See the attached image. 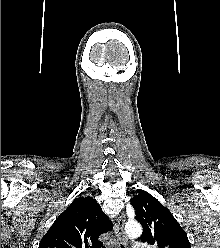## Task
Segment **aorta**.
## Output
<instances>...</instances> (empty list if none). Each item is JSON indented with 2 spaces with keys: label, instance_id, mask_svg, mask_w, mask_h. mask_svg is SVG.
<instances>
[{
  "label": "aorta",
  "instance_id": "1",
  "mask_svg": "<svg viewBox=\"0 0 220 248\" xmlns=\"http://www.w3.org/2000/svg\"><path fill=\"white\" fill-rule=\"evenodd\" d=\"M125 231L129 238H137L142 233V228L137 221H128L125 225Z\"/></svg>",
  "mask_w": 220,
  "mask_h": 248
}]
</instances>
